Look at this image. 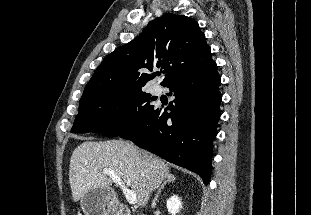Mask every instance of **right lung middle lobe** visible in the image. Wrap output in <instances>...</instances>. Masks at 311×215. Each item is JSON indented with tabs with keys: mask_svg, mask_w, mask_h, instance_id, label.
I'll list each match as a JSON object with an SVG mask.
<instances>
[{
	"mask_svg": "<svg viewBox=\"0 0 311 215\" xmlns=\"http://www.w3.org/2000/svg\"><path fill=\"white\" fill-rule=\"evenodd\" d=\"M150 94L142 90L108 93L79 103L73 133L96 132L117 137L138 125L154 109Z\"/></svg>",
	"mask_w": 311,
	"mask_h": 215,
	"instance_id": "dd1d6c3e",
	"label": "right lung middle lobe"
}]
</instances>
